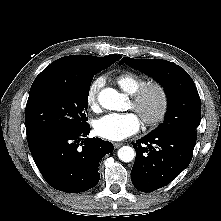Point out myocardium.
Instances as JSON below:
<instances>
[{"mask_svg": "<svg viewBox=\"0 0 221 221\" xmlns=\"http://www.w3.org/2000/svg\"><path fill=\"white\" fill-rule=\"evenodd\" d=\"M151 92H155L159 97V107L152 116H146L142 113V105ZM170 98L165 85L158 81H151L141 86L134 94H132V107L140 114L143 122L147 126H156L160 124L166 117L169 110Z\"/></svg>", "mask_w": 221, "mask_h": 221, "instance_id": "1", "label": "myocardium"}]
</instances>
